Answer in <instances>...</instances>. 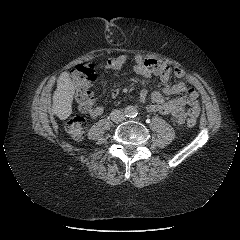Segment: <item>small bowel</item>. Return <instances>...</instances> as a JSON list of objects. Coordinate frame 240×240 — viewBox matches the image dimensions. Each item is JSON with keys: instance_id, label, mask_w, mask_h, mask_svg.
Masks as SVG:
<instances>
[{"instance_id": "obj_1", "label": "small bowel", "mask_w": 240, "mask_h": 240, "mask_svg": "<svg viewBox=\"0 0 240 240\" xmlns=\"http://www.w3.org/2000/svg\"><path fill=\"white\" fill-rule=\"evenodd\" d=\"M128 63L126 55H119L109 59L102 67L108 70H119ZM133 69L143 80L151 75H155L162 83H166L173 73L177 78L183 79L185 72L181 68L172 70L166 63L157 59H146L140 55L135 56ZM186 93L184 96L165 99V95H178ZM120 95L119 90L115 89L111 93L112 98ZM139 100L150 112H158L168 115L177 124H182L188 118H197L200 114L198 103V92L194 85L179 81L172 86L163 87L162 90H155L152 94L143 87L139 94ZM104 112L102 106H95L89 112L92 117H99Z\"/></svg>"}]
</instances>
